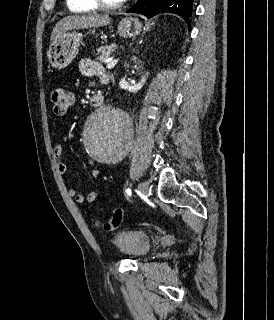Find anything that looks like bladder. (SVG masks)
<instances>
[{
	"label": "bladder",
	"instance_id": "1",
	"mask_svg": "<svg viewBox=\"0 0 274 320\" xmlns=\"http://www.w3.org/2000/svg\"><path fill=\"white\" fill-rule=\"evenodd\" d=\"M112 244L121 255L140 259L150 251L151 240L141 231L120 230L113 236Z\"/></svg>",
	"mask_w": 274,
	"mask_h": 320
}]
</instances>
